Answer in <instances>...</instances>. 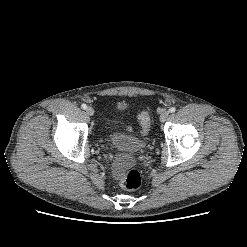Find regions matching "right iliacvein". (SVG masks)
<instances>
[{
    "instance_id": "right-iliac-vein-1",
    "label": "right iliac vein",
    "mask_w": 247,
    "mask_h": 247,
    "mask_svg": "<svg viewBox=\"0 0 247 247\" xmlns=\"http://www.w3.org/2000/svg\"><path fill=\"white\" fill-rule=\"evenodd\" d=\"M86 113L89 115V116H92L94 114V109L92 107H87L86 108Z\"/></svg>"
}]
</instances>
